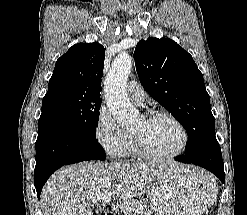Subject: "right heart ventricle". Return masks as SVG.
Wrapping results in <instances>:
<instances>
[{"label": "right heart ventricle", "instance_id": "e07e8e85", "mask_svg": "<svg viewBox=\"0 0 247 215\" xmlns=\"http://www.w3.org/2000/svg\"><path fill=\"white\" fill-rule=\"evenodd\" d=\"M124 155H128V156H139L140 155L137 150V147H136V144H135V141L132 135H129L128 143H127V147H126Z\"/></svg>", "mask_w": 247, "mask_h": 215}]
</instances>
